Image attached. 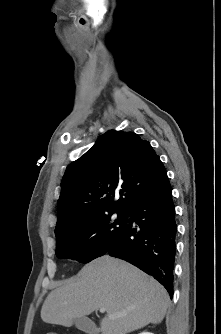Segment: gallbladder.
<instances>
[{"mask_svg":"<svg viewBox=\"0 0 221 334\" xmlns=\"http://www.w3.org/2000/svg\"><path fill=\"white\" fill-rule=\"evenodd\" d=\"M74 325L77 329L89 333V334H98V329L96 325L87 317H80L74 319Z\"/></svg>","mask_w":221,"mask_h":334,"instance_id":"bac80fb5","label":"gallbladder"}]
</instances>
